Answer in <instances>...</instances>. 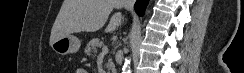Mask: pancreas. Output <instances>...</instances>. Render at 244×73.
I'll return each instance as SVG.
<instances>
[{"label":"pancreas","mask_w":244,"mask_h":73,"mask_svg":"<svg viewBox=\"0 0 244 73\" xmlns=\"http://www.w3.org/2000/svg\"><path fill=\"white\" fill-rule=\"evenodd\" d=\"M102 45H103V43L98 38L92 39L85 47V53L88 55H92V54L95 55L98 51V48L102 47ZM106 66H107V68H110L113 66L112 59L108 60V63Z\"/></svg>","instance_id":"1"}]
</instances>
